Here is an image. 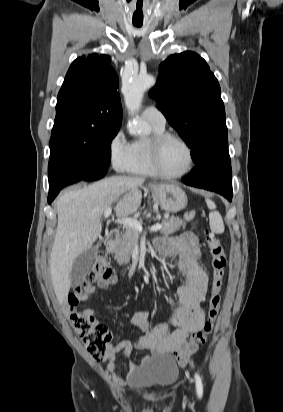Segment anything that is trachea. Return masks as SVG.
I'll return each mask as SVG.
<instances>
[{"label": "trachea", "mask_w": 283, "mask_h": 412, "mask_svg": "<svg viewBox=\"0 0 283 412\" xmlns=\"http://www.w3.org/2000/svg\"><path fill=\"white\" fill-rule=\"evenodd\" d=\"M134 26H136V27H141L142 24H134Z\"/></svg>", "instance_id": "1"}]
</instances>
